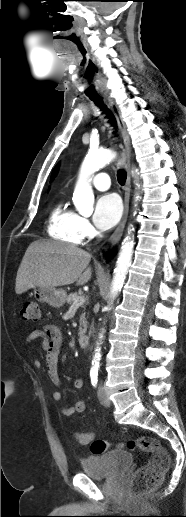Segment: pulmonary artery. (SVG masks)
Instances as JSON below:
<instances>
[{
    "label": "pulmonary artery",
    "mask_w": 186,
    "mask_h": 517,
    "mask_svg": "<svg viewBox=\"0 0 186 517\" xmlns=\"http://www.w3.org/2000/svg\"><path fill=\"white\" fill-rule=\"evenodd\" d=\"M92 184L97 190H107L110 187L109 176L105 173H99L92 179Z\"/></svg>",
    "instance_id": "obj_1"
}]
</instances>
